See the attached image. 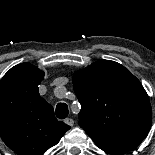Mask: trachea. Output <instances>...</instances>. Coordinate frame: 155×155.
<instances>
[{"instance_id":"obj_1","label":"trachea","mask_w":155,"mask_h":155,"mask_svg":"<svg viewBox=\"0 0 155 155\" xmlns=\"http://www.w3.org/2000/svg\"><path fill=\"white\" fill-rule=\"evenodd\" d=\"M68 106L65 103H58L56 106V116L59 119H65L68 116Z\"/></svg>"}]
</instances>
